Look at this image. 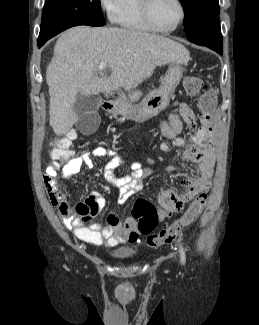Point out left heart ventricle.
Wrapping results in <instances>:
<instances>
[{
	"label": "left heart ventricle",
	"mask_w": 259,
	"mask_h": 325,
	"mask_svg": "<svg viewBox=\"0 0 259 325\" xmlns=\"http://www.w3.org/2000/svg\"><path fill=\"white\" fill-rule=\"evenodd\" d=\"M151 16L157 27L170 29L178 21L180 9L176 0H153Z\"/></svg>",
	"instance_id": "left-heart-ventricle-1"
}]
</instances>
